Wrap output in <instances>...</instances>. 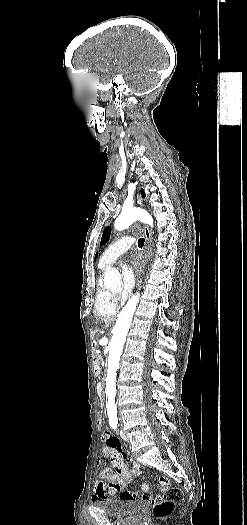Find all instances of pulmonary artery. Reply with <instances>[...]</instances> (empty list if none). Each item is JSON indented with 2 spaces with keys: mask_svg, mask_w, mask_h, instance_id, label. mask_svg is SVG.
Wrapping results in <instances>:
<instances>
[{
  "mask_svg": "<svg viewBox=\"0 0 247 525\" xmlns=\"http://www.w3.org/2000/svg\"><path fill=\"white\" fill-rule=\"evenodd\" d=\"M134 241L135 239L132 236H119L107 246V248L102 254V257L106 260L107 263H111L122 253L128 250L132 246Z\"/></svg>",
  "mask_w": 247,
  "mask_h": 525,
  "instance_id": "e3ab8cb5",
  "label": "pulmonary artery"
}]
</instances>
